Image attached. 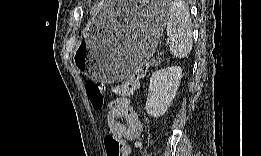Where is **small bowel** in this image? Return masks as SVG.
Masks as SVG:
<instances>
[{"label":"small bowel","mask_w":261,"mask_h":156,"mask_svg":"<svg viewBox=\"0 0 261 156\" xmlns=\"http://www.w3.org/2000/svg\"><path fill=\"white\" fill-rule=\"evenodd\" d=\"M120 119H123L124 122H121ZM107 130L108 134L121 142L123 156L129 155L131 152L130 146L127 144L128 141L135 142L138 147L141 146L137 139L143 130L142 122L128 99L119 98L109 103Z\"/></svg>","instance_id":"c3829d8e"}]
</instances>
